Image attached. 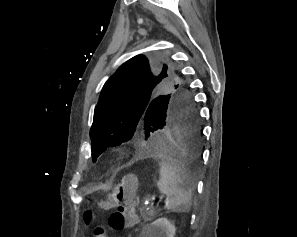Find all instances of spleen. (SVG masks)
Masks as SVG:
<instances>
[{
	"mask_svg": "<svg viewBox=\"0 0 297 237\" xmlns=\"http://www.w3.org/2000/svg\"><path fill=\"white\" fill-rule=\"evenodd\" d=\"M160 193L166 195L165 208L177 213L189 212L192 206V184L184 173L168 160L160 162Z\"/></svg>",
	"mask_w": 297,
	"mask_h": 237,
	"instance_id": "spleen-1",
	"label": "spleen"
}]
</instances>
